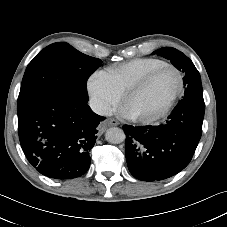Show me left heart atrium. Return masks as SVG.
Segmentation results:
<instances>
[{
    "instance_id": "39dd6f15",
    "label": "left heart atrium",
    "mask_w": 227,
    "mask_h": 227,
    "mask_svg": "<svg viewBox=\"0 0 227 227\" xmlns=\"http://www.w3.org/2000/svg\"><path fill=\"white\" fill-rule=\"evenodd\" d=\"M122 114L126 117H132V112L128 109V108H125L122 110Z\"/></svg>"
}]
</instances>
